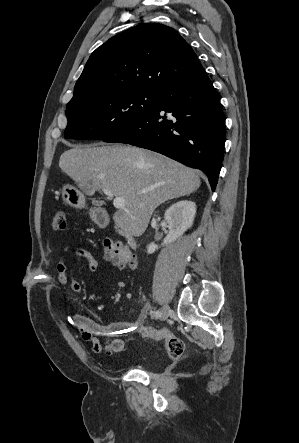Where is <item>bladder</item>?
<instances>
[{
	"mask_svg": "<svg viewBox=\"0 0 299 443\" xmlns=\"http://www.w3.org/2000/svg\"><path fill=\"white\" fill-rule=\"evenodd\" d=\"M143 368L147 370V366L146 365H144Z\"/></svg>",
	"mask_w": 299,
	"mask_h": 443,
	"instance_id": "bladder-1",
	"label": "bladder"
}]
</instances>
